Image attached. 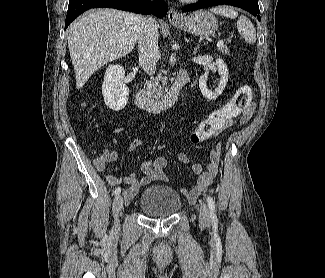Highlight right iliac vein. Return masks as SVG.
<instances>
[{
  "mask_svg": "<svg viewBox=\"0 0 325 278\" xmlns=\"http://www.w3.org/2000/svg\"><path fill=\"white\" fill-rule=\"evenodd\" d=\"M123 208V198L122 196L118 195L115 197L114 201H113V214L116 217V223L114 225L115 230H119V224L117 221V216L118 213L121 211V209Z\"/></svg>",
  "mask_w": 325,
  "mask_h": 278,
  "instance_id": "1",
  "label": "right iliac vein"
}]
</instances>
